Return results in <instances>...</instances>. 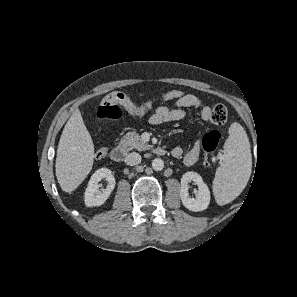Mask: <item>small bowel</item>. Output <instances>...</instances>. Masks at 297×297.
<instances>
[{"mask_svg": "<svg viewBox=\"0 0 297 297\" xmlns=\"http://www.w3.org/2000/svg\"><path fill=\"white\" fill-rule=\"evenodd\" d=\"M129 114L133 116H143L148 111L142 105L138 106L135 103L131 106H125ZM186 109H198L201 119L206 122L210 117V107L203 103V101L196 95L185 94L181 98L171 101L170 103L158 106L149 121L153 125H160L166 122L179 121L186 116ZM201 141L197 140L191 149L184 154L183 163L186 166L194 165L200 156ZM172 156L180 157L183 155V150L180 147H175L171 151Z\"/></svg>", "mask_w": 297, "mask_h": 297, "instance_id": "c3829d8e", "label": "small bowel"}]
</instances>
